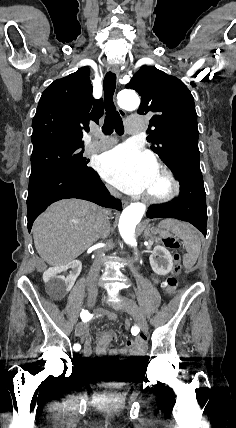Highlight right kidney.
Segmentation results:
<instances>
[{
  "label": "right kidney",
  "instance_id": "ca27d5eb",
  "mask_svg": "<svg viewBox=\"0 0 236 428\" xmlns=\"http://www.w3.org/2000/svg\"><path fill=\"white\" fill-rule=\"evenodd\" d=\"M71 268V270H67ZM82 270V264L80 260H73L66 266H54L49 268L43 274V280L45 292L51 293L52 301H62L66 299V294L73 288L76 278H78Z\"/></svg>",
  "mask_w": 236,
  "mask_h": 428
}]
</instances>
